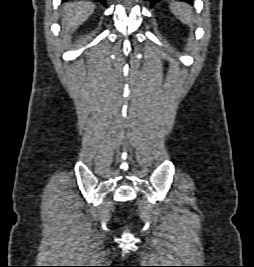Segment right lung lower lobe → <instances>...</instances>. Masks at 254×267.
<instances>
[{
  "label": "right lung lower lobe",
  "mask_w": 254,
  "mask_h": 267,
  "mask_svg": "<svg viewBox=\"0 0 254 267\" xmlns=\"http://www.w3.org/2000/svg\"><path fill=\"white\" fill-rule=\"evenodd\" d=\"M97 1L101 2L102 4L106 3V0H97Z\"/></svg>",
  "instance_id": "right-lung-lower-lobe-1"
}]
</instances>
